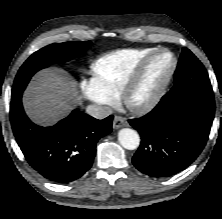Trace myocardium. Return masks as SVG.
<instances>
[{
    "label": "myocardium",
    "instance_id": "1",
    "mask_svg": "<svg viewBox=\"0 0 222 219\" xmlns=\"http://www.w3.org/2000/svg\"><path fill=\"white\" fill-rule=\"evenodd\" d=\"M167 53L171 56V65L162 80L159 87L146 99L137 101L135 94L143 83L148 68L152 61L159 55ZM178 61L176 55L167 48H158L153 50L147 56H145L138 64L132 75L124 84L121 93L120 100L123 105L131 112L135 114H144L152 110L165 95L177 69Z\"/></svg>",
    "mask_w": 222,
    "mask_h": 219
}]
</instances>
